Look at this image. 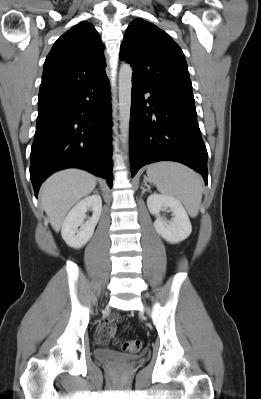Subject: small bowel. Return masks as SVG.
<instances>
[{"label":"small bowel","instance_id":"1","mask_svg":"<svg viewBox=\"0 0 261 399\" xmlns=\"http://www.w3.org/2000/svg\"><path fill=\"white\" fill-rule=\"evenodd\" d=\"M121 317L119 314H112L107 317L97 329V340L101 344H106L116 334L114 324L119 322Z\"/></svg>","mask_w":261,"mask_h":399}]
</instances>
